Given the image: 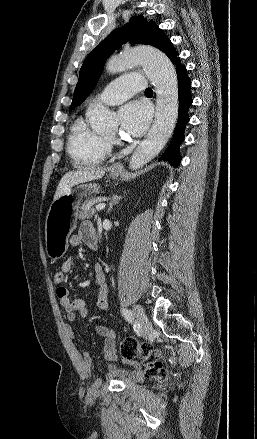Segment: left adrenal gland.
I'll use <instances>...</instances> for the list:
<instances>
[{"label":"left adrenal gland","mask_w":257,"mask_h":439,"mask_svg":"<svg viewBox=\"0 0 257 439\" xmlns=\"http://www.w3.org/2000/svg\"><path fill=\"white\" fill-rule=\"evenodd\" d=\"M121 199H122L121 196L113 195V197H112V199H111V202H110V204H109V208H108V210H107V213H109V212L112 210L113 206L116 205V204H118V202H119Z\"/></svg>","instance_id":"obj_1"}]
</instances>
